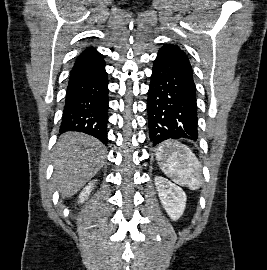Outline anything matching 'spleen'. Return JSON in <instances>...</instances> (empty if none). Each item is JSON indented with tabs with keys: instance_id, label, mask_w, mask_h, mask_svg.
<instances>
[{
	"instance_id": "spleen-1",
	"label": "spleen",
	"mask_w": 267,
	"mask_h": 270,
	"mask_svg": "<svg viewBox=\"0 0 267 270\" xmlns=\"http://www.w3.org/2000/svg\"><path fill=\"white\" fill-rule=\"evenodd\" d=\"M156 160L169 178L179 185L197 190L201 186V165L190 148L177 141H166L160 145Z\"/></svg>"
}]
</instances>
